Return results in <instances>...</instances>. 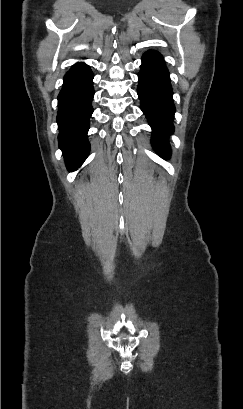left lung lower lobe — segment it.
Segmentation results:
<instances>
[{
	"label": "left lung lower lobe",
	"instance_id": "left-lung-lower-lobe-1",
	"mask_svg": "<svg viewBox=\"0 0 243 409\" xmlns=\"http://www.w3.org/2000/svg\"><path fill=\"white\" fill-rule=\"evenodd\" d=\"M138 79L140 108L153 130L152 145L161 157L168 158L171 154L168 136L174 130L175 106L169 72L158 52L144 53Z\"/></svg>",
	"mask_w": 243,
	"mask_h": 409
}]
</instances>
